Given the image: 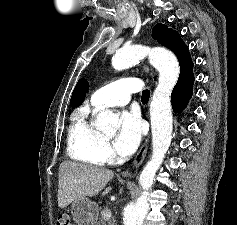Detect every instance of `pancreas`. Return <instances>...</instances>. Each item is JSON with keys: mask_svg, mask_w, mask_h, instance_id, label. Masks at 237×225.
Wrapping results in <instances>:
<instances>
[{"mask_svg": "<svg viewBox=\"0 0 237 225\" xmlns=\"http://www.w3.org/2000/svg\"><path fill=\"white\" fill-rule=\"evenodd\" d=\"M103 211L101 212V215L99 217V220L96 222V225H114V220H111L110 218H105L103 215Z\"/></svg>", "mask_w": 237, "mask_h": 225, "instance_id": "obj_1", "label": "pancreas"}]
</instances>
